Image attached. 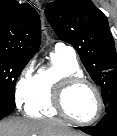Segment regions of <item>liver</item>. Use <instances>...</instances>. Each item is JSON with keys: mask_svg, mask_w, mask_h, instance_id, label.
Segmentation results:
<instances>
[{"mask_svg": "<svg viewBox=\"0 0 117 136\" xmlns=\"http://www.w3.org/2000/svg\"><path fill=\"white\" fill-rule=\"evenodd\" d=\"M0 136H85L51 121L11 118L0 122Z\"/></svg>", "mask_w": 117, "mask_h": 136, "instance_id": "1", "label": "liver"}]
</instances>
